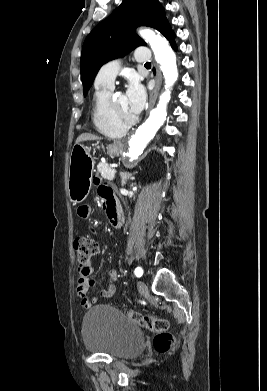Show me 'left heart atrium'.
<instances>
[{
  "label": "left heart atrium",
  "mask_w": 267,
  "mask_h": 391,
  "mask_svg": "<svg viewBox=\"0 0 267 391\" xmlns=\"http://www.w3.org/2000/svg\"><path fill=\"white\" fill-rule=\"evenodd\" d=\"M125 96L130 111L134 115L139 114L144 107L146 98L143 86L136 79H132L129 82Z\"/></svg>",
  "instance_id": "1"
}]
</instances>
